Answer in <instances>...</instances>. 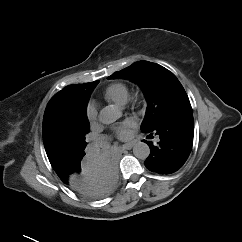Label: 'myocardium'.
Returning a JSON list of instances; mask_svg holds the SVG:
<instances>
[{
    "label": "myocardium",
    "instance_id": "f54148a6",
    "mask_svg": "<svg viewBox=\"0 0 242 242\" xmlns=\"http://www.w3.org/2000/svg\"><path fill=\"white\" fill-rule=\"evenodd\" d=\"M132 101H133L134 103H138V102L140 101V95H139L138 93L134 94V95L132 96Z\"/></svg>",
    "mask_w": 242,
    "mask_h": 242
}]
</instances>
